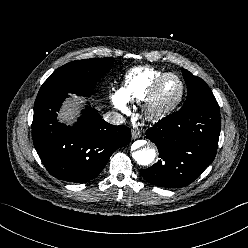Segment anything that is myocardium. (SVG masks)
<instances>
[{
    "label": "myocardium",
    "instance_id": "myocardium-1",
    "mask_svg": "<svg viewBox=\"0 0 248 248\" xmlns=\"http://www.w3.org/2000/svg\"><path fill=\"white\" fill-rule=\"evenodd\" d=\"M170 77L176 78L180 83V92L176 99L171 102H161L159 100V92L163 83ZM185 95V83L183 79L175 73H166L161 76L151 88L147 98L145 99L144 113L150 120L161 119L174 110L181 104Z\"/></svg>",
    "mask_w": 248,
    "mask_h": 248
}]
</instances>
